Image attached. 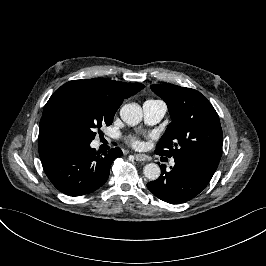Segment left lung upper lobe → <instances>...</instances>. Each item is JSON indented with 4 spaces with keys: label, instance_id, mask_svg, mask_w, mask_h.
I'll list each match as a JSON object with an SVG mask.
<instances>
[{
    "label": "left lung upper lobe",
    "instance_id": "obj_1",
    "mask_svg": "<svg viewBox=\"0 0 266 266\" xmlns=\"http://www.w3.org/2000/svg\"><path fill=\"white\" fill-rule=\"evenodd\" d=\"M151 89L166 102L172 119L155 153L195 156L219 164L223 134L211 103L200 92L173 84L151 85Z\"/></svg>",
    "mask_w": 266,
    "mask_h": 266
}]
</instances>
